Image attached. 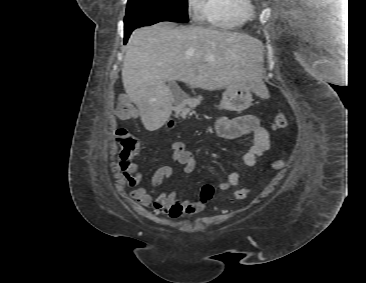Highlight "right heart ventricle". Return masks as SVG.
<instances>
[{
  "mask_svg": "<svg viewBox=\"0 0 366 283\" xmlns=\"http://www.w3.org/2000/svg\"><path fill=\"white\" fill-rule=\"evenodd\" d=\"M254 15L251 0H203L202 19L221 29H237Z\"/></svg>",
  "mask_w": 366,
  "mask_h": 283,
  "instance_id": "right-heart-ventricle-1",
  "label": "right heart ventricle"
}]
</instances>
